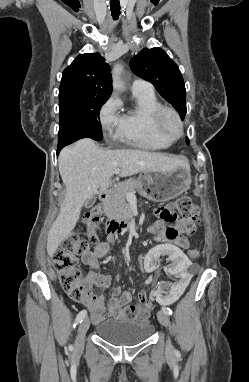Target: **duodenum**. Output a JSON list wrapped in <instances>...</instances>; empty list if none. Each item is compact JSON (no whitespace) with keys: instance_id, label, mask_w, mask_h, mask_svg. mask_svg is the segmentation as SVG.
I'll return each mask as SVG.
<instances>
[{"instance_id":"duodenum-1","label":"duodenum","mask_w":249,"mask_h":382,"mask_svg":"<svg viewBox=\"0 0 249 382\" xmlns=\"http://www.w3.org/2000/svg\"><path fill=\"white\" fill-rule=\"evenodd\" d=\"M109 197V191L106 190L100 194V201L104 204ZM138 228L137 223L129 218L114 219L108 224V232L115 234H128L136 231Z\"/></svg>"}]
</instances>
